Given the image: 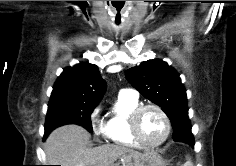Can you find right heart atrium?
<instances>
[{
	"mask_svg": "<svg viewBox=\"0 0 236 166\" xmlns=\"http://www.w3.org/2000/svg\"><path fill=\"white\" fill-rule=\"evenodd\" d=\"M100 106L95 107L90 114L91 127L96 136H106V128L101 118Z\"/></svg>",
	"mask_w": 236,
	"mask_h": 166,
	"instance_id": "obj_1",
	"label": "right heart atrium"
}]
</instances>
